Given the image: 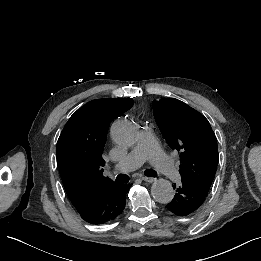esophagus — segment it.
I'll return each instance as SVG.
<instances>
[{
  "instance_id": "34e87169",
  "label": "esophagus",
  "mask_w": 261,
  "mask_h": 261,
  "mask_svg": "<svg viewBox=\"0 0 261 261\" xmlns=\"http://www.w3.org/2000/svg\"><path fill=\"white\" fill-rule=\"evenodd\" d=\"M142 180L149 182V183H152V182L156 181V178L145 176V177H142Z\"/></svg>"
}]
</instances>
